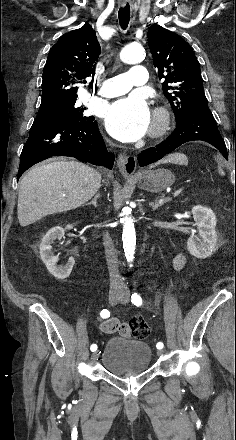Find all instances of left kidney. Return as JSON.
<instances>
[{
    "label": "left kidney",
    "mask_w": 236,
    "mask_h": 440,
    "mask_svg": "<svg viewBox=\"0 0 236 440\" xmlns=\"http://www.w3.org/2000/svg\"><path fill=\"white\" fill-rule=\"evenodd\" d=\"M194 221L198 227V235L187 240L189 253L199 259L212 255L217 245L216 216L214 212L201 205L192 208Z\"/></svg>",
    "instance_id": "left-kidney-1"
}]
</instances>
